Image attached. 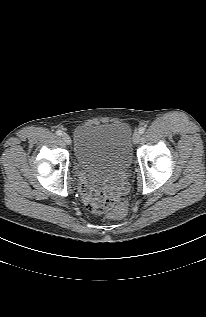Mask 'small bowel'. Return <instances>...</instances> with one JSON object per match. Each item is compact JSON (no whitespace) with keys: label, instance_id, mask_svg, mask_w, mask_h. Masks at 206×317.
Wrapping results in <instances>:
<instances>
[{"label":"small bowel","instance_id":"obj_1","mask_svg":"<svg viewBox=\"0 0 206 317\" xmlns=\"http://www.w3.org/2000/svg\"><path fill=\"white\" fill-rule=\"evenodd\" d=\"M86 189H87V186L83 185V196H84L85 201L87 200V197H86V194H85V190Z\"/></svg>","mask_w":206,"mask_h":317}]
</instances>
